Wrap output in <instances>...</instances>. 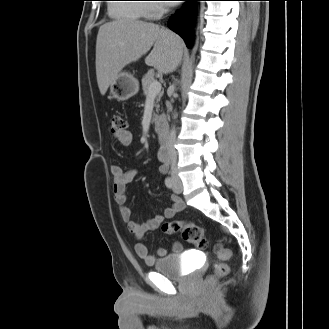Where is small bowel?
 Segmentation results:
<instances>
[{"instance_id":"c3829d8e","label":"small bowel","mask_w":329,"mask_h":329,"mask_svg":"<svg viewBox=\"0 0 329 329\" xmlns=\"http://www.w3.org/2000/svg\"><path fill=\"white\" fill-rule=\"evenodd\" d=\"M116 139L123 146H130L133 142V136L130 131H124L119 135H115ZM167 170V164L162 161L159 165V172L164 173ZM111 173L113 176V192L116 204L119 206L120 215L123 221L128 224L129 231L138 239L141 240L144 234L148 231L158 228L161 223L167 219L174 217L184 207L183 201L177 196H171V205L164 210L163 213L155 215L152 219L147 220L143 223L132 220L131 210L126 206L127 201V187L135 180L140 174L139 168H130L124 170L120 165H113L111 167ZM135 253L141 258L146 264L152 265L157 257H162L168 254L167 249L159 248L157 250V257L152 255L145 244L138 242L134 246ZM183 245L176 241L172 244L173 252H181Z\"/></svg>"}]
</instances>
